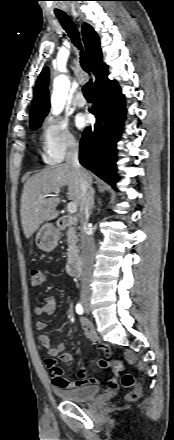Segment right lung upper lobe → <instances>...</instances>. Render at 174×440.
Returning a JSON list of instances; mask_svg holds the SVG:
<instances>
[{
  "mask_svg": "<svg viewBox=\"0 0 174 440\" xmlns=\"http://www.w3.org/2000/svg\"><path fill=\"white\" fill-rule=\"evenodd\" d=\"M82 36L90 61V67L93 74L96 76V81L94 83V86H96L107 73L108 66L102 62V51L100 49L99 37L93 28L87 23L83 24ZM48 82L49 70L45 67L36 81L30 113V124L43 121L49 112L50 100L48 95Z\"/></svg>",
  "mask_w": 174,
  "mask_h": 440,
  "instance_id": "1",
  "label": "right lung upper lobe"
}]
</instances>
